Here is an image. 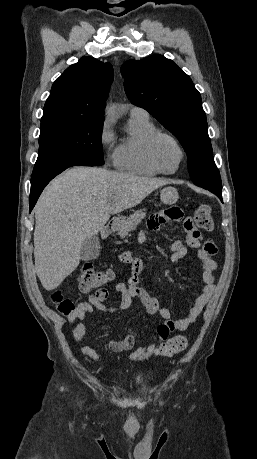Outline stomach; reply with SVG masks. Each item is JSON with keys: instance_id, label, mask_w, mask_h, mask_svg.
<instances>
[{"instance_id": "1", "label": "stomach", "mask_w": 257, "mask_h": 459, "mask_svg": "<svg viewBox=\"0 0 257 459\" xmlns=\"http://www.w3.org/2000/svg\"><path fill=\"white\" fill-rule=\"evenodd\" d=\"M178 198V191L176 190V188L172 186L165 187L160 191V199L164 204H174L178 200ZM124 222L125 221L122 218L118 219L117 227L120 228L124 224Z\"/></svg>"}]
</instances>
